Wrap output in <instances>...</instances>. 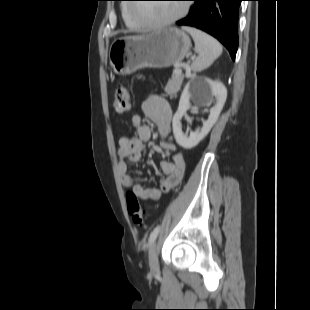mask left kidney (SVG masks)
<instances>
[{
  "mask_svg": "<svg viewBox=\"0 0 310 310\" xmlns=\"http://www.w3.org/2000/svg\"><path fill=\"white\" fill-rule=\"evenodd\" d=\"M195 97L199 103H205L210 96L217 100L216 105L210 109L208 119L203 123L201 130L191 132L189 137L185 136L181 130V119L186 111L191 107L190 98ZM227 90L225 86L210 79L196 81L193 86L188 85L182 92L178 110L174 114L172 127L175 140L184 149L195 147L211 130L216 123L220 112L225 104Z\"/></svg>",
  "mask_w": 310,
  "mask_h": 310,
  "instance_id": "5707ae66",
  "label": "left kidney"
}]
</instances>
